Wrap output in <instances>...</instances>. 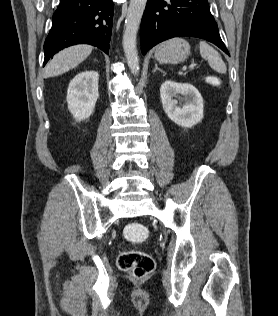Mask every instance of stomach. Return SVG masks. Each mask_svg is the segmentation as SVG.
<instances>
[{"label":"stomach","instance_id":"1","mask_svg":"<svg viewBox=\"0 0 278 316\" xmlns=\"http://www.w3.org/2000/svg\"><path fill=\"white\" fill-rule=\"evenodd\" d=\"M190 54V46L183 39H171L161 44L155 52V58L160 63L177 64L185 61Z\"/></svg>","mask_w":278,"mask_h":316}]
</instances>
